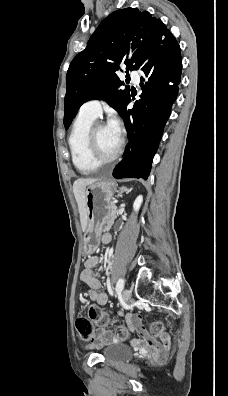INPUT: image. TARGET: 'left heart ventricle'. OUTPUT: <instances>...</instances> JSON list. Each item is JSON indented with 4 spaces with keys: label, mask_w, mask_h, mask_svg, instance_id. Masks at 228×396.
Segmentation results:
<instances>
[{
    "label": "left heart ventricle",
    "mask_w": 228,
    "mask_h": 396,
    "mask_svg": "<svg viewBox=\"0 0 228 396\" xmlns=\"http://www.w3.org/2000/svg\"><path fill=\"white\" fill-rule=\"evenodd\" d=\"M120 138L105 125L100 127L96 133L97 148L100 156L107 158L114 154L119 145Z\"/></svg>",
    "instance_id": "1"
}]
</instances>
